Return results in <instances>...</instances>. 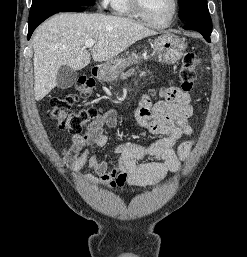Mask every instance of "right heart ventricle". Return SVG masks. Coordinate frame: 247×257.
Masks as SVG:
<instances>
[{
  "mask_svg": "<svg viewBox=\"0 0 247 257\" xmlns=\"http://www.w3.org/2000/svg\"><path fill=\"white\" fill-rule=\"evenodd\" d=\"M110 7L114 14L128 17H138L129 0H111Z\"/></svg>",
  "mask_w": 247,
  "mask_h": 257,
  "instance_id": "obj_1",
  "label": "right heart ventricle"
}]
</instances>
